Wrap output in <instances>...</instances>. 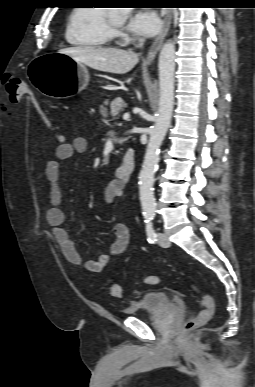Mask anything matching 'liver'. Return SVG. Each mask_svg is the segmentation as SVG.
Returning a JSON list of instances; mask_svg holds the SVG:
<instances>
[{
	"instance_id": "1",
	"label": "liver",
	"mask_w": 255,
	"mask_h": 387,
	"mask_svg": "<svg viewBox=\"0 0 255 387\" xmlns=\"http://www.w3.org/2000/svg\"><path fill=\"white\" fill-rule=\"evenodd\" d=\"M58 53L68 55L92 69L114 74L131 71L139 61L138 55L133 51L117 48L72 47L61 49Z\"/></svg>"
}]
</instances>
